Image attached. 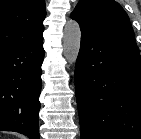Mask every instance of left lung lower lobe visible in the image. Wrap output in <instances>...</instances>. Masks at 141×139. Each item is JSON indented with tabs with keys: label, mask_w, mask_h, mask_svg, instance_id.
Returning a JSON list of instances; mask_svg holds the SVG:
<instances>
[{
	"label": "left lung lower lobe",
	"mask_w": 141,
	"mask_h": 139,
	"mask_svg": "<svg viewBox=\"0 0 141 139\" xmlns=\"http://www.w3.org/2000/svg\"><path fill=\"white\" fill-rule=\"evenodd\" d=\"M81 32L75 67L81 139H141L137 45Z\"/></svg>",
	"instance_id": "1"
}]
</instances>
